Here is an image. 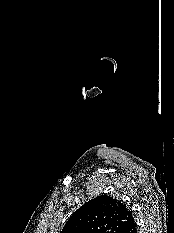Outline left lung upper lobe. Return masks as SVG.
I'll return each instance as SVG.
<instances>
[{"mask_svg": "<svg viewBox=\"0 0 174 233\" xmlns=\"http://www.w3.org/2000/svg\"><path fill=\"white\" fill-rule=\"evenodd\" d=\"M133 221L125 204L100 195L76 210L60 233H122Z\"/></svg>", "mask_w": 174, "mask_h": 233, "instance_id": "5c2ea615", "label": "left lung upper lobe"}]
</instances>
